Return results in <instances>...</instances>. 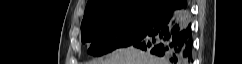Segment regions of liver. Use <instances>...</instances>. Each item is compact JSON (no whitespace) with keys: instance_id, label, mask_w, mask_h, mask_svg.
<instances>
[{"instance_id":"6515ba94","label":"liver","mask_w":242,"mask_h":64,"mask_svg":"<svg viewBox=\"0 0 242 64\" xmlns=\"http://www.w3.org/2000/svg\"><path fill=\"white\" fill-rule=\"evenodd\" d=\"M88 64H164V60L139 49H117L106 58H98Z\"/></svg>"}]
</instances>
